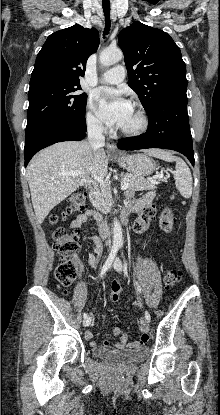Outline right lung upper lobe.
<instances>
[{"label": "right lung upper lobe", "instance_id": "obj_1", "mask_svg": "<svg viewBox=\"0 0 220 415\" xmlns=\"http://www.w3.org/2000/svg\"><path fill=\"white\" fill-rule=\"evenodd\" d=\"M99 46L96 29L76 24L51 34L39 51L31 80L53 78L79 83L88 57Z\"/></svg>", "mask_w": 220, "mask_h": 415}]
</instances>
